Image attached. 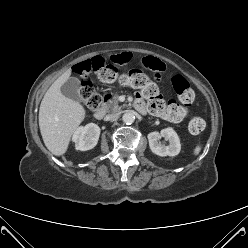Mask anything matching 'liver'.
<instances>
[{"instance_id": "liver-1", "label": "liver", "mask_w": 248, "mask_h": 248, "mask_svg": "<svg viewBox=\"0 0 248 248\" xmlns=\"http://www.w3.org/2000/svg\"><path fill=\"white\" fill-rule=\"evenodd\" d=\"M70 75L71 69H68L53 82L39 109V127L44 144L55 156L66 153L72 135L86 116L80 103L67 98L60 91Z\"/></svg>"}]
</instances>
